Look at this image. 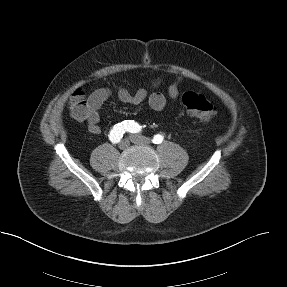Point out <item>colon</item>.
Wrapping results in <instances>:
<instances>
[{"mask_svg": "<svg viewBox=\"0 0 287 287\" xmlns=\"http://www.w3.org/2000/svg\"><path fill=\"white\" fill-rule=\"evenodd\" d=\"M182 103L187 113L202 121L208 122L215 118V106L203 95L187 92L182 96ZM72 116L79 121H84L89 114L88 100L80 90L76 91L69 104Z\"/></svg>", "mask_w": 287, "mask_h": 287, "instance_id": "1", "label": "colon"}]
</instances>
